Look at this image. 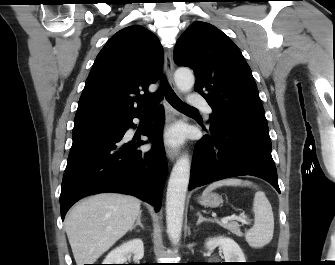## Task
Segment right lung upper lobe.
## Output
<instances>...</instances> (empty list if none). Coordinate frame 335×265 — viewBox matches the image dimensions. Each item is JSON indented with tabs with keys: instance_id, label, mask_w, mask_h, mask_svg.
Listing matches in <instances>:
<instances>
[{
	"instance_id": "1",
	"label": "right lung upper lobe",
	"mask_w": 335,
	"mask_h": 265,
	"mask_svg": "<svg viewBox=\"0 0 335 265\" xmlns=\"http://www.w3.org/2000/svg\"><path fill=\"white\" fill-rule=\"evenodd\" d=\"M163 56L158 38L142 26L115 33L89 73L74 126L120 123L139 116L153 96L148 86L161 75Z\"/></svg>"
}]
</instances>
